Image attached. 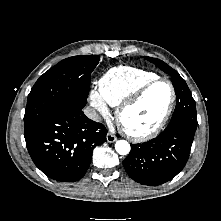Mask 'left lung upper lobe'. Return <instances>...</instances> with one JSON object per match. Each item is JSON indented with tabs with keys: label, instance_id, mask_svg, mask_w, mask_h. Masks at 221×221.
<instances>
[{
	"label": "left lung upper lobe",
	"instance_id": "obj_1",
	"mask_svg": "<svg viewBox=\"0 0 221 221\" xmlns=\"http://www.w3.org/2000/svg\"><path fill=\"white\" fill-rule=\"evenodd\" d=\"M148 61L157 65L165 73L172 76V84L176 91V99L183 100L182 107L176 106L171 121L168 126H175L179 124H185L194 128H197V113L195 101L191 95V92L184 81V79L178 74L176 70L171 68L165 62L151 57H145Z\"/></svg>",
	"mask_w": 221,
	"mask_h": 221
}]
</instances>
